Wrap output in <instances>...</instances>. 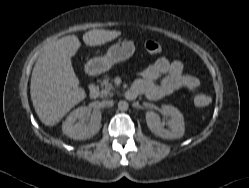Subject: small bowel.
Segmentation results:
<instances>
[{"instance_id":"1","label":"small bowel","mask_w":249,"mask_h":188,"mask_svg":"<svg viewBox=\"0 0 249 188\" xmlns=\"http://www.w3.org/2000/svg\"><path fill=\"white\" fill-rule=\"evenodd\" d=\"M161 77L162 80L158 81ZM199 86L200 82L196 77L184 73L182 62L161 57L154 64L139 71V78L133 88L139 94L156 101L180 88L195 92Z\"/></svg>"}]
</instances>
